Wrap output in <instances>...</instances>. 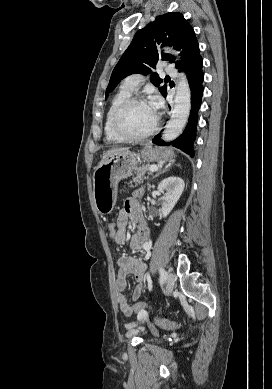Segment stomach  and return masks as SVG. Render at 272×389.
<instances>
[{"label": "stomach", "instance_id": "obj_1", "mask_svg": "<svg viewBox=\"0 0 272 389\" xmlns=\"http://www.w3.org/2000/svg\"><path fill=\"white\" fill-rule=\"evenodd\" d=\"M173 157L171 148L144 145L139 153L127 150L102 161L93 174V198L98 213H111L116 204L119 181L132 175L139 159L153 162L170 161Z\"/></svg>", "mask_w": 272, "mask_h": 389}]
</instances>
